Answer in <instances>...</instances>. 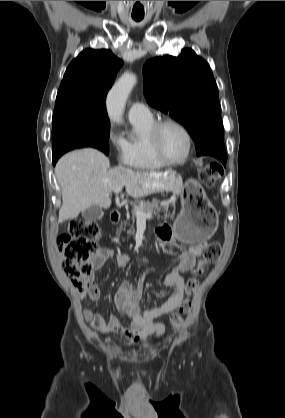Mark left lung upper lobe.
Listing matches in <instances>:
<instances>
[{
    "mask_svg": "<svg viewBox=\"0 0 285 418\" xmlns=\"http://www.w3.org/2000/svg\"><path fill=\"white\" fill-rule=\"evenodd\" d=\"M147 102L180 122L195 141L198 156L223 151V123L218 88L209 64L186 48L177 57L165 55L144 65Z\"/></svg>",
    "mask_w": 285,
    "mask_h": 418,
    "instance_id": "obj_1",
    "label": "left lung upper lobe"
}]
</instances>
